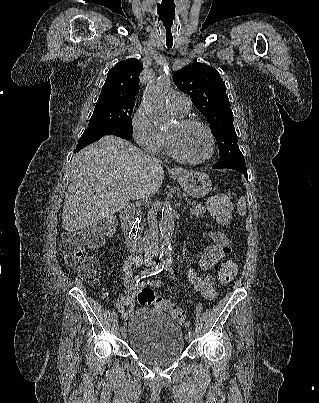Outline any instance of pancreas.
Returning a JSON list of instances; mask_svg holds the SVG:
<instances>
[{
    "instance_id": "1",
    "label": "pancreas",
    "mask_w": 319,
    "mask_h": 403,
    "mask_svg": "<svg viewBox=\"0 0 319 403\" xmlns=\"http://www.w3.org/2000/svg\"><path fill=\"white\" fill-rule=\"evenodd\" d=\"M206 212V208L201 204H194L192 208H190V213L195 217H203Z\"/></svg>"
}]
</instances>
